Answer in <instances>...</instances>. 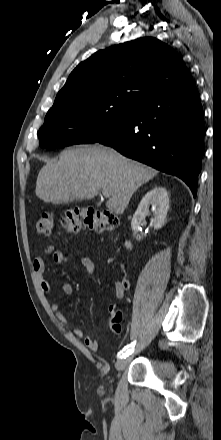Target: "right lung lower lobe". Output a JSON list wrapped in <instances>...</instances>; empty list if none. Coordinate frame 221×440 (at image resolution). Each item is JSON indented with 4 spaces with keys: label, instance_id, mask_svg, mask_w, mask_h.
Segmentation results:
<instances>
[{
    "label": "right lung lower lobe",
    "instance_id": "1",
    "mask_svg": "<svg viewBox=\"0 0 221 440\" xmlns=\"http://www.w3.org/2000/svg\"><path fill=\"white\" fill-rule=\"evenodd\" d=\"M98 142L179 177L195 197L204 152V116L195 84L142 102L121 127Z\"/></svg>",
    "mask_w": 221,
    "mask_h": 440
}]
</instances>
